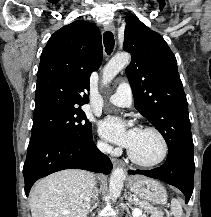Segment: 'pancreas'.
Wrapping results in <instances>:
<instances>
[{"label":"pancreas","mask_w":211,"mask_h":217,"mask_svg":"<svg viewBox=\"0 0 211 217\" xmlns=\"http://www.w3.org/2000/svg\"><path fill=\"white\" fill-rule=\"evenodd\" d=\"M136 205H139L141 208L145 210V212L150 213L152 217H163L164 213L157 208L151 206L148 202L139 201L136 202Z\"/></svg>","instance_id":"1"}]
</instances>
